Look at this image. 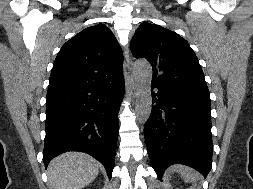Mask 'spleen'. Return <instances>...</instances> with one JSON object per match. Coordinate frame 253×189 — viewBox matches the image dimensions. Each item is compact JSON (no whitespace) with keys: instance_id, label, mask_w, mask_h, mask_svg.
<instances>
[{"instance_id":"1","label":"spleen","mask_w":253,"mask_h":189,"mask_svg":"<svg viewBox=\"0 0 253 189\" xmlns=\"http://www.w3.org/2000/svg\"><path fill=\"white\" fill-rule=\"evenodd\" d=\"M178 172L180 173L181 177L189 183L196 182L198 179V174L191 168L186 166H177L176 167Z\"/></svg>"}]
</instances>
